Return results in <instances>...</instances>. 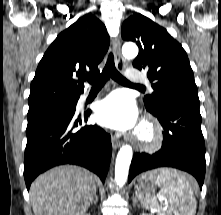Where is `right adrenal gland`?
<instances>
[{"mask_svg":"<svg viewBox=\"0 0 221 215\" xmlns=\"http://www.w3.org/2000/svg\"><path fill=\"white\" fill-rule=\"evenodd\" d=\"M97 202H98V197H97V194H96V191H95L94 199H93L91 204H97Z\"/></svg>","mask_w":221,"mask_h":215,"instance_id":"1","label":"right adrenal gland"}]
</instances>
